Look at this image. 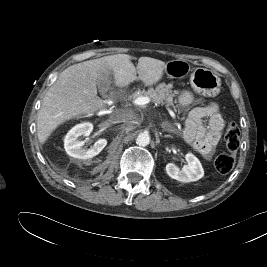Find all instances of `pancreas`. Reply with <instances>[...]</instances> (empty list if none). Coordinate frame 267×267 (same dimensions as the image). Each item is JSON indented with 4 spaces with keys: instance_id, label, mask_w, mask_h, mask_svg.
<instances>
[{
    "instance_id": "1",
    "label": "pancreas",
    "mask_w": 267,
    "mask_h": 267,
    "mask_svg": "<svg viewBox=\"0 0 267 267\" xmlns=\"http://www.w3.org/2000/svg\"><path fill=\"white\" fill-rule=\"evenodd\" d=\"M143 94L147 95L154 103H166L167 106H172L175 111L178 110V113H181L182 111L181 106L174 105L176 101H173V97L177 94V91L172 92L171 86L169 85L160 84L156 89L151 88L147 92L138 93L136 96H142ZM182 119H184V117Z\"/></svg>"
}]
</instances>
